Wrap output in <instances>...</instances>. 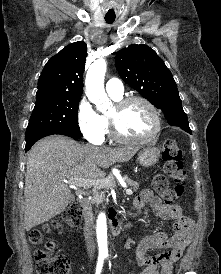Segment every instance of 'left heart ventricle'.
I'll list each match as a JSON object with an SVG mask.
<instances>
[{
  "mask_svg": "<svg viewBox=\"0 0 221 274\" xmlns=\"http://www.w3.org/2000/svg\"><path fill=\"white\" fill-rule=\"evenodd\" d=\"M116 117L119 130L128 138L146 137L153 128L150 110L141 102H134L120 112L113 107L109 113Z\"/></svg>",
  "mask_w": 221,
  "mask_h": 274,
  "instance_id": "1",
  "label": "left heart ventricle"
}]
</instances>
